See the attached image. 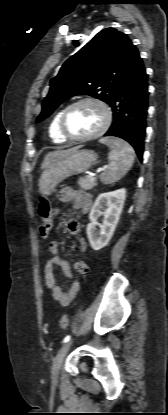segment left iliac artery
<instances>
[{
    "label": "left iliac artery",
    "mask_w": 168,
    "mask_h": 415,
    "mask_svg": "<svg viewBox=\"0 0 168 415\" xmlns=\"http://www.w3.org/2000/svg\"><path fill=\"white\" fill-rule=\"evenodd\" d=\"M70 340V335H67L65 338H64V340H63V343H66L67 341H69Z\"/></svg>",
    "instance_id": "obj_1"
}]
</instances>
